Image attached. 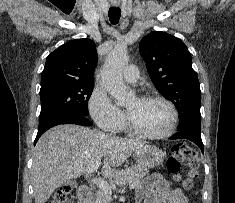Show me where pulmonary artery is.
Returning <instances> with one entry per match:
<instances>
[{
  "mask_svg": "<svg viewBox=\"0 0 235 203\" xmlns=\"http://www.w3.org/2000/svg\"><path fill=\"white\" fill-rule=\"evenodd\" d=\"M123 78L126 82L135 83L139 78V72L135 65H129L123 70Z\"/></svg>",
  "mask_w": 235,
  "mask_h": 203,
  "instance_id": "obj_1",
  "label": "pulmonary artery"
}]
</instances>
